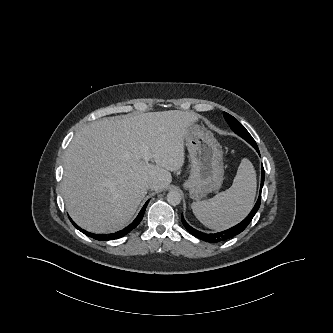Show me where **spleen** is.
<instances>
[{"label": "spleen", "instance_id": "spleen-1", "mask_svg": "<svg viewBox=\"0 0 333 333\" xmlns=\"http://www.w3.org/2000/svg\"><path fill=\"white\" fill-rule=\"evenodd\" d=\"M256 194V173L252 163L242 159L232 186L213 198L192 203L197 219L214 230L227 229L242 219L252 209Z\"/></svg>", "mask_w": 333, "mask_h": 333}]
</instances>
